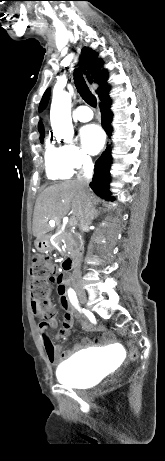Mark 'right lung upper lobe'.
<instances>
[{"instance_id":"obj_1","label":"right lung upper lobe","mask_w":165,"mask_h":461,"mask_svg":"<svg viewBox=\"0 0 165 461\" xmlns=\"http://www.w3.org/2000/svg\"><path fill=\"white\" fill-rule=\"evenodd\" d=\"M81 61L89 67L91 74L93 78L95 79V82L100 84V88L98 89L97 93L99 94L101 101L108 99L109 98L108 97L109 87L106 83L107 72L104 70H101L102 65H103L102 60L97 57V53H95L93 50L87 47H84L82 49ZM49 94H50V90L47 89L41 99V102L39 105V111L45 108L48 98H49ZM38 130L40 132V136L44 135V129H43V124L41 120L38 123Z\"/></svg>"}]
</instances>
